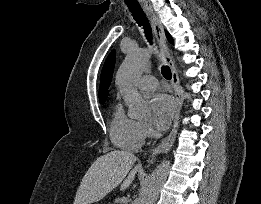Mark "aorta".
<instances>
[{
  "mask_svg": "<svg viewBox=\"0 0 261 204\" xmlns=\"http://www.w3.org/2000/svg\"><path fill=\"white\" fill-rule=\"evenodd\" d=\"M152 52L153 50L148 48L130 51L116 75V83L128 106V113L135 119L145 118L150 114L149 102L142 97L136 86L149 63ZM170 167V161H163L156 167L143 188L140 204H155Z\"/></svg>",
  "mask_w": 261,
  "mask_h": 204,
  "instance_id": "762f6f07",
  "label": "aorta"
}]
</instances>
